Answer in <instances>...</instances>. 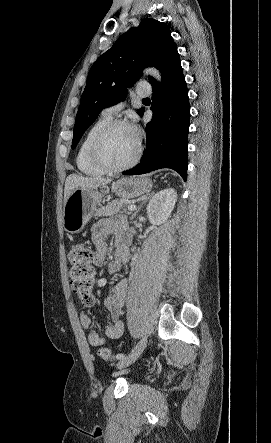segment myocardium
<instances>
[{
	"label": "myocardium",
	"mask_w": 271,
	"mask_h": 443,
	"mask_svg": "<svg viewBox=\"0 0 271 443\" xmlns=\"http://www.w3.org/2000/svg\"><path fill=\"white\" fill-rule=\"evenodd\" d=\"M124 126L130 128L136 137V151L134 155L124 164L119 166L112 165L104 155V144L109 134L117 127ZM143 151L142 139L137 128L128 120L125 119H111L99 131L91 146V157L96 165L102 168L105 172L118 173L125 171L135 165L140 159Z\"/></svg>",
	"instance_id": "myocardium-1"
}]
</instances>
